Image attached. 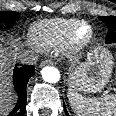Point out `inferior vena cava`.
Listing matches in <instances>:
<instances>
[{"instance_id":"602c4592","label":"inferior vena cava","mask_w":116,"mask_h":116,"mask_svg":"<svg viewBox=\"0 0 116 116\" xmlns=\"http://www.w3.org/2000/svg\"><path fill=\"white\" fill-rule=\"evenodd\" d=\"M17 60L23 65L34 64L37 61L35 55L33 53H30L29 51H25L17 55Z\"/></svg>"}]
</instances>
